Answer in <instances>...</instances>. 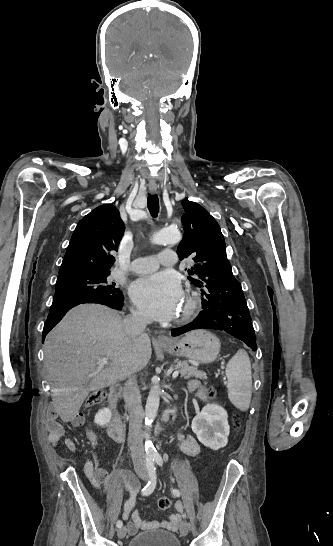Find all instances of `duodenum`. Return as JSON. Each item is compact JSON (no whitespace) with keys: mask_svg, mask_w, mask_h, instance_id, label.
I'll list each match as a JSON object with an SVG mask.
<instances>
[{"mask_svg":"<svg viewBox=\"0 0 333 546\" xmlns=\"http://www.w3.org/2000/svg\"><path fill=\"white\" fill-rule=\"evenodd\" d=\"M121 394L120 386H113L110 388L108 400L109 410L111 412V418L108 423V431L112 439L117 442H123L125 440V424L117 411V403Z\"/></svg>","mask_w":333,"mask_h":546,"instance_id":"410a0bca","label":"duodenum"}]
</instances>
